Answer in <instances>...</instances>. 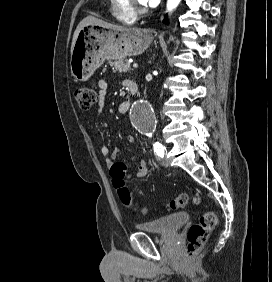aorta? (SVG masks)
Returning <instances> with one entry per match:
<instances>
[{
    "label": "aorta",
    "mask_w": 272,
    "mask_h": 282,
    "mask_svg": "<svg viewBox=\"0 0 272 282\" xmlns=\"http://www.w3.org/2000/svg\"><path fill=\"white\" fill-rule=\"evenodd\" d=\"M181 0H167V11L171 12ZM130 120L134 128L140 133L152 134L154 112L152 106L145 100L135 102L130 109Z\"/></svg>",
    "instance_id": "obj_1"
}]
</instances>
